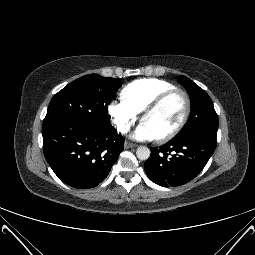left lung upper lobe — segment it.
Returning a JSON list of instances; mask_svg holds the SVG:
<instances>
[{
	"label": "left lung upper lobe",
	"instance_id": "obj_1",
	"mask_svg": "<svg viewBox=\"0 0 255 255\" xmlns=\"http://www.w3.org/2000/svg\"><path fill=\"white\" fill-rule=\"evenodd\" d=\"M180 83L187 90L191 99V115L183 130L173 140L192 137H209L216 139L218 116L208 94L189 78L181 75Z\"/></svg>",
	"mask_w": 255,
	"mask_h": 255
}]
</instances>
